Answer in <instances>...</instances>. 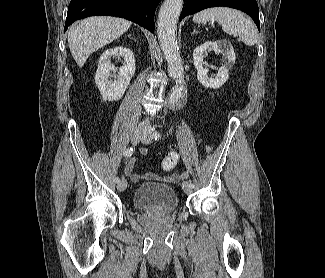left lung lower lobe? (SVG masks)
I'll use <instances>...</instances> for the list:
<instances>
[{"mask_svg":"<svg viewBox=\"0 0 325 278\" xmlns=\"http://www.w3.org/2000/svg\"><path fill=\"white\" fill-rule=\"evenodd\" d=\"M215 6L231 7L244 11L254 20L260 31L259 9L256 0H185L180 20L188 15Z\"/></svg>","mask_w":325,"mask_h":278,"instance_id":"0a47b994","label":"left lung lower lobe"}]
</instances>
